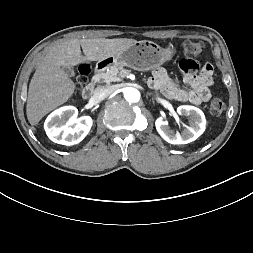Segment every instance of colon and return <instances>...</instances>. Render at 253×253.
Wrapping results in <instances>:
<instances>
[{
    "label": "colon",
    "instance_id": "5ec220e1",
    "mask_svg": "<svg viewBox=\"0 0 253 253\" xmlns=\"http://www.w3.org/2000/svg\"><path fill=\"white\" fill-rule=\"evenodd\" d=\"M207 50L202 41H187L183 44L184 58H195L202 56ZM182 59V60H183ZM91 73V66L88 63H81L75 70V85L77 89H82L88 82ZM210 113L213 116H221L225 110V103L220 98H213L209 104Z\"/></svg>",
    "mask_w": 253,
    "mask_h": 253
}]
</instances>
